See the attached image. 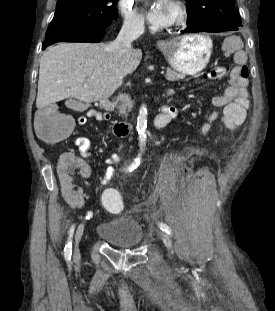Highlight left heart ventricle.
Segmentation results:
<instances>
[{
    "instance_id": "b2bd125f",
    "label": "left heart ventricle",
    "mask_w": 275,
    "mask_h": 311,
    "mask_svg": "<svg viewBox=\"0 0 275 311\" xmlns=\"http://www.w3.org/2000/svg\"><path fill=\"white\" fill-rule=\"evenodd\" d=\"M170 14H171V22H173L174 19H175L176 16H177V10H176V7H175V5L173 4V2L171 3V12H170Z\"/></svg>"
}]
</instances>
